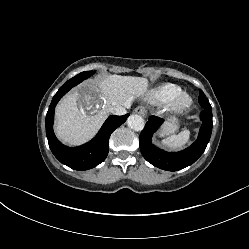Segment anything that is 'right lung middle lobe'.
<instances>
[{
	"instance_id": "1",
	"label": "right lung middle lobe",
	"mask_w": 249,
	"mask_h": 249,
	"mask_svg": "<svg viewBox=\"0 0 249 249\" xmlns=\"http://www.w3.org/2000/svg\"><path fill=\"white\" fill-rule=\"evenodd\" d=\"M94 73H95V72H93V71H85V72H82V73H80V74H78V75H76V76H77V77H82V78H84V79H87V78H89L90 76H92Z\"/></svg>"
}]
</instances>
